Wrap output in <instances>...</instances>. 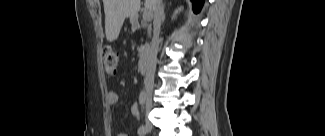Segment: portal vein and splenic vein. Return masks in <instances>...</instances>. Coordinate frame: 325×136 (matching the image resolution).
Returning a JSON list of instances; mask_svg holds the SVG:
<instances>
[{
    "instance_id": "1",
    "label": "portal vein and splenic vein",
    "mask_w": 325,
    "mask_h": 136,
    "mask_svg": "<svg viewBox=\"0 0 325 136\" xmlns=\"http://www.w3.org/2000/svg\"><path fill=\"white\" fill-rule=\"evenodd\" d=\"M152 13L148 10H145L143 13V20L144 21H151L152 20Z\"/></svg>"
}]
</instances>
